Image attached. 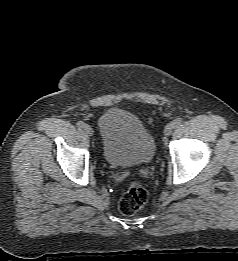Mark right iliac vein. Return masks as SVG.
<instances>
[{
  "instance_id": "obj_1",
  "label": "right iliac vein",
  "mask_w": 238,
  "mask_h": 261,
  "mask_svg": "<svg viewBox=\"0 0 238 261\" xmlns=\"http://www.w3.org/2000/svg\"><path fill=\"white\" fill-rule=\"evenodd\" d=\"M84 132L88 135V136H92L93 135V129L91 126L89 125H85L84 126Z\"/></svg>"
}]
</instances>
